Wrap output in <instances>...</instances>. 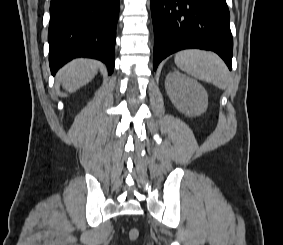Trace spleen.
<instances>
[{"instance_id": "1", "label": "spleen", "mask_w": 283, "mask_h": 245, "mask_svg": "<svg viewBox=\"0 0 283 245\" xmlns=\"http://www.w3.org/2000/svg\"><path fill=\"white\" fill-rule=\"evenodd\" d=\"M174 61L177 67L196 79L212 83L222 90L227 88L229 83L228 69L215 53L187 49L178 52Z\"/></svg>"}]
</instances>
